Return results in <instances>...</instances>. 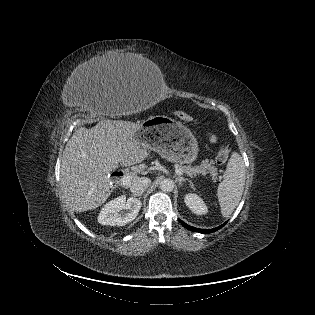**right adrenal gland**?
Instances as JSON below:
<instances>
[{"instance_id":"obj_1","label":"right adrenal gland","mask_w":315,"mask_h":315,"mask_svg":"<svg viewBox=\"0 0 315 315\" xmlns=\"http://www.w3.org/2000/svg\"><path fill=\"white\" fill-rule=\"evenodd\" d=\"M134 197H138L139 199L141 198L142 194H132Z\"/></svg>"}]
</instances>
